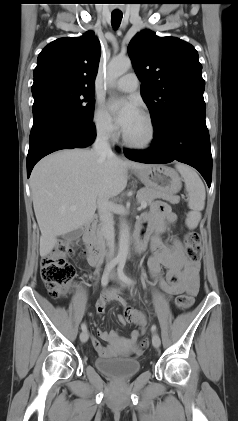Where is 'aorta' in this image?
Here are the masks:
<instances>
[{"mask_svg": "<svg viewBox=\"0 0 238 421\" xmlns=\"http://www.w3.org/2000/svg\"><path fill=\"white\" fill-rule=\"evenodd\" d=\"M132 67L129 58H114L110 61L107 68V79L110 83L116 81L120 76L125 74ZM129 229L126 222L123 220L120 225L119 232V248L117 261L125 263L129 251Z\"/></svg>", "mask_w": 238, "mask_h": 421, "instance_id": "1", "label": "aorta"}]
</instances>
